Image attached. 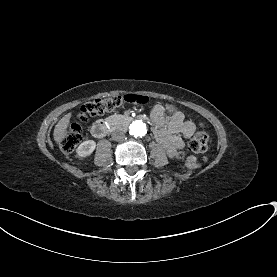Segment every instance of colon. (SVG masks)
<instances>
[{
  "label": "colon",
  "instance_id": "1",
  "mask_svg": "<svg viewBox=\"0 0 277 277\" xmlns=\"http://www.w3.org/2000/svg\"><path fill=\"white\" fill-rule=\"evenodd\" d=\"M149 102L150 98L148 96L138 94L101 96L83 104L80 108L78 119L81 124H85L88 122L89 117L112 113L125 104L146 105ZM81 130L82 126L76 123L66 128L61 142L64 151L71 152L74 149L81 138ZM210 139L211 135L208 130L201 125L187 141L186 149L181 150L178 156L186 160L188 169L195 171L202 167V162L192 153L205 152Z\"/></svg>",
  "mask_w": 277,
  "mask_h": 277
}]
</instances>
